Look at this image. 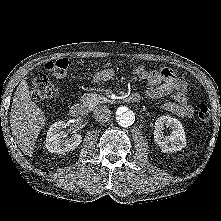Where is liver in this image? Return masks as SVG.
<instances>
[{
    "label": "liver",
    "mask_w": 221,
    "mask_h": 221,
    "mask_svg": "<svg viewBox=\"0 0 221 221\" xmlns=\"http://www.w3.org/2000/svg\"><path fill=\"white\" fill-rule=\"evenodd\" d=\"M10 124L16 143L25 155L31 157L38 135L45 126V116L32 101L25 79L21 80L15 91Z\"/></svg>",
    "instance_id": "liver-1"
}]
</instances>
